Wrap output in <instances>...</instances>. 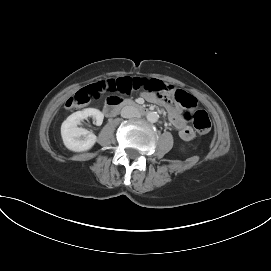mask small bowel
Masks as SVG:
<instances>
[{
  "instance_id": "obj_1",
  "label": "small bowel",
  "mask_w": 271,
  "mask_h": 271,
  "mask_svg": "<svg viewBox=\"0 0 271 271\" xmlns=\"http://www.w3.org/2000/svg\"><path fill=\"white\" fill-rule=\"evenodd\" d=\"M106 84L102 82L98 85L104 87ZM140 90L150 91L144 94V98L147 101L154 102L156 105L165 104L170 122L178 130L179 137L182 140L191 141L195 137L193 129L187 125L177 103L170 99H165L174 95V89L165 80H162L161 76H142L140 78Z\"/></svg>"
}]
</instances>
